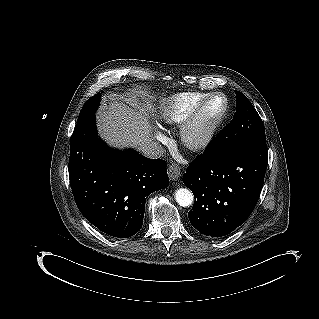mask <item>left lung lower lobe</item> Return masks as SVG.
<instances>
[{
  "label": "left lung lower lobe",
  "instance_id": "1",
  "mask_svg": "<svg viewBox=\"0 0 319 319\" xmlns=\"http://www.w3.org/2000/svg\"><path fill=\"white\" fill-rule=\"evenodd\" d=\"M266 143L204 153L183 175L193 192L194 206L188 213L195 230L208 238H221L243 224L258 201L267 168Z\"/></svg>",
  "mask_w": 319,
  "mask_h": 319
}]
</instances>
